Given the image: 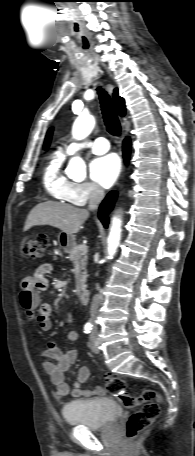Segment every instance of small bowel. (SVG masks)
Wrapping results in <instances>:
<instances>
[{
	"instance_id": "small-bowel-1",
	"label": "small bowel",
	"mask_w": 195,
	"mask_h": 456,
	"mask_svg": "<svg viewBox=\"0 0 195 456\" xmlns=\"http://www.w3.org/2000/svg\"><path fill=\"white\" fill-rule=\"evenodd\" d=\"M51 270V264H42L32 276L24 277L20 282V304L29 319L37 322L43 331H49L52 327L50 319L51 306L49 303L40 302L38 291L47 289L49 285L47 276ZM77 338V332L70 330L67 333V340L70 345L66 350H62L54 342H49L42 353L44 358L43 368L49 375L55 387V393L60 399H64L69 393L74 398L102 396L105 394V390L101 386H96L94 389L82 387L90 378L89 369L86 367H81L78 370L77 378L71 391L65 382V373L77 359V349L75 347Z\"/></svg>"
}]
</instances>
